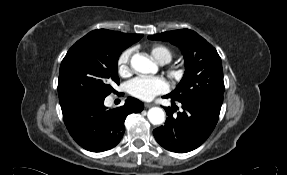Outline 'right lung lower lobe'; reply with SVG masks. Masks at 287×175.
Masks as SVG:
<instances>
[{"mask_svg": "<svg viewBox=\"0 0 287 175\" xmlns=\"http://www.w3.org/2000/svg\"><path fill=\"white\" fill-rule=\"evenodd\" d=\"M104 99H78L61 105L63 120L73 139L84 149L103 152L115 147L124 134V120L144 105L129 97L124 106L107 109Z\"/></svg>", "mask_w": 287, "mask_h": 175, "instance_id": "right-lung-lower-lobe-1", "label": "right lung lower lobe"}]
</instances>
